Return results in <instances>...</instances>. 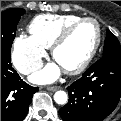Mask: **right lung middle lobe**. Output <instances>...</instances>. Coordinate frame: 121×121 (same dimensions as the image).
Masks as SVG:
<instances>
[{"label": "right lung middle lobe", "mask_w": 121, "mask_h": 121, "mask_svg": "<svg viewBox=\"0 0 121 121\" xmlns=\"http://www.w3.org/2000/svg\"><path fill=\"white\" fill-rule=\"evenodd\" d=\"M24 9L12 8L1 12V53L10 54L16 27Z\"/></svg>", "instance_id": "right-lung-middle-lobe-1"}]
</instances>
